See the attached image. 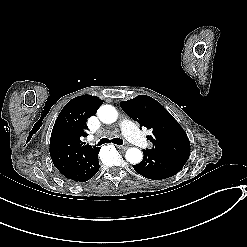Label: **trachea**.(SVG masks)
<instances>
[{
	"label": "trachea",
	"instance_id": "obj_1",
	"mask_svg": "<svg viewBox=\"0 0 247 247\" xmlns=\"http://www.w3.org/2000/svg\"><path fill=\"white\" fill-rule=\"evenodd\" d=\"M106 143H113L116 145H122L123 140L121 138H113V139H108V138H102L100 141L96 143L97 146L106 144Z\"/></svg>",
	"mask_w": 247,
	"mask_h": 247
}]
</instances>
